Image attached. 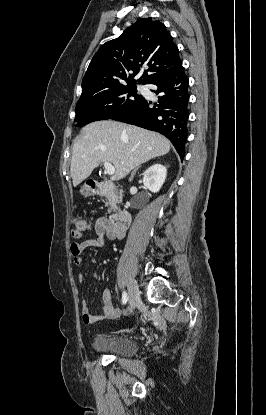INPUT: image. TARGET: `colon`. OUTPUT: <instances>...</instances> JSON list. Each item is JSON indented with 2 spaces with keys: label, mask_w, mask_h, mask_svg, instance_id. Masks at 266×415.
Returning <instances> with one entry per match:
<instances>
[{
  "label": "colon",
  "mask_w": 266,
  "mask_h": 415,
  "mask_svg": "<svg viewBox=\"0 0 266 415\" xmlns=\"http://www.w3.org/2000/svg\"><path fill=\"white\" fill-rule=\"evenodd\" d=\"M91 228L90 222L83 216H76L72 221L71 235L73 238H80Z\"/></svg>",
  "instance_id": "5ec220e1"
}]
</instances>
